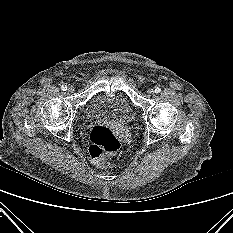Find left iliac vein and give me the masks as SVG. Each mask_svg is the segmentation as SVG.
<instances>
[{"label":"left iliac vein","mask_w":233,"mask_h":233,"mask_svg":"<svg viewBox=\"0 0 233 233\" xmlns=\"http://www.w3.org/2000/svg\"><path fill=\"white\" fill-rule=\"evenodd\" d=\"M154 94V90L153 89H148L147 90V95L148 96H152Z\"/></svg>","instance_id":"1"}]
</instances>
